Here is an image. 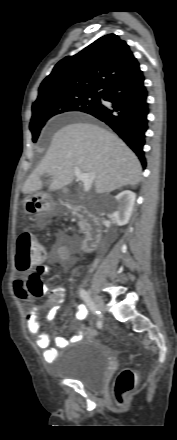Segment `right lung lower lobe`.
<instances>
[{
	"instance_id": "98d812e1",
	"label": "right lung lower lobe",
	"mask_w": 177,
	"mask_h": 440,
	"mask_svg": "<svg viewBox=\"0 0 177 440\" xmlns=\"http://www.w3.org/2000/svg\"><path fill=\"white\" fill-rule=\"evenodd\" d=\"M111 106L99 105L86 113L109 125L136 153L145 168L143 146L148 129L147 90L140 68L112 86L102 96Z\"/></svg>"
}]
</instances>
